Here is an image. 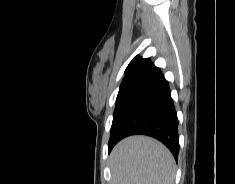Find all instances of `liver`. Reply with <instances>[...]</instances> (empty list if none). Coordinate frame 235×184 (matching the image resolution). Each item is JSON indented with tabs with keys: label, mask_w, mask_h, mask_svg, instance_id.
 I'll return each instance as SVG.
<instances>
[{
	"label": "liver",
	"mask_w": 235,
	"mask_h": 184,
	"mask_svg": "<svg viewBox=\"0 0 235 184\" xmlns=\"http://www.w3.org/2000/svg\"><path fill=\"white\" fill-rule=\"evenodd\" d=\"M112 184H174L175 160L166 146L149 136H130L110 154Z\"/></svg>",
	"instance_id": "6515ba94"
}]
</instances>
